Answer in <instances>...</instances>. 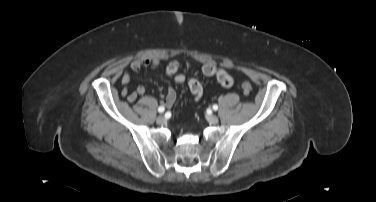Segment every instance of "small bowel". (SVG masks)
<instances>
[{"label": "small bowel", "instance_id": "1", "mask_svg": "<svg viewBox=\"0 0 376 202\" xmlns=\"http://www.w3.org/2000/svg\"><path fill=\"white\" fill-rule=\"evenodd\" d=\"M160 65L159 60L143 58L134 60L130 64V69L133 72H139L144 68L156 69ZM191 65L188 63H181L179 61H171L166 67V73L176 82V83H187L192 93L194 100L198 101L203 95V87L199 81L194 78H189L181 72V69H191ZM203 74L208 77H216L217 81L225 87H230L233 84L232 77L222 68H218L212 63L205 64L203 66ZM131 80V74L129 71H125L121 76V83L124 86L121 91V97L125 98L128 102L133 103L138 97L145 93L144 86H138L135 90L129 91L128 84ZM176 100V92L173 87H169L164 99L163 104L170 107L174 104Z\"/></svg>", "mask_w": 376, "mask_h": 202}]
</instances>
